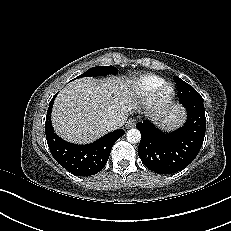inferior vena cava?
<instances>
[{
	"mask_svg": "<svg viewBox=\"0 0 231 231\" xmlns=\"http://www.w3.org/2000/svg\"><path fill=\"white\" fill-rule=\"evenodd\" d=\"M126 119H127V117L123 116V117H117V118L109 120L107 122V129L109 131L119 129L120 127H122L124 125V122Z\"/></svg>",
	"mask_w": 231,
	"mask_h": 231,
	"instance_id": "inferior-vena-cava-1",
	"label": "inferior vena cava"
}]
</instances>
